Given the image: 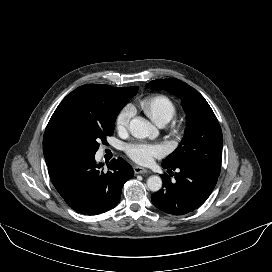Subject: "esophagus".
<instances>
[{
    "label": "esophagus",
    "instance_id": "obj_1",
    "mask_svg": "<svg viewBox=\"0 0 272 272\" xmlns=\"http://www.w3.org/2000/svg\"><path fill=\"white\" fill-rule=\"evenodd\" d=\"M134 172H135V174H145L148 172V170L143 167H140V166H135Z\"/></svg>",
    "mask_w": 272,
    "mask_h": 272
}]
</instances>
